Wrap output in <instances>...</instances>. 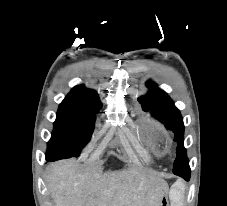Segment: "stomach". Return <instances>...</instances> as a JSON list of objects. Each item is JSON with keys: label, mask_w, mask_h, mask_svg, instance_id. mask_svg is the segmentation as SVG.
Returning a JSON list of instances; mask_svg holds the SVG:
<instances>
[{"label": "stomach", "mask_w": 227, "mask_h": 206, "mask_svg": "<svg viewBox=\"0 0 227 206\" xmlns=\"http://www.w3.org/2000/svg\"><path fill=\"white\" fill-rule=\"evenodd\" d=\"M160 202H162L161 206H169L168 197H160Z\"/></svg>", "instance_id": "1"}]
</instances>
